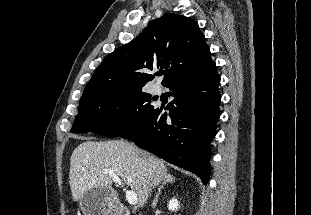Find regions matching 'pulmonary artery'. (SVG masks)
I'll return each instance as SVG.
<instances>
[{
  "instance_id": "pulmonary-artery-1",
  "label": "pulmonary artery",
  "mask_w": 311,
  "mask_h": 215,
  "mask_svg": "<svg viewBox=\"0 0 311 215\" xmlns=\"http://www.w3.org/2000/svg\"><path fill=\"white\" fill-rule=\"evenodd\" d=\"M153 92H158V88H153Z\"/></svg>"
}]
</instances>
